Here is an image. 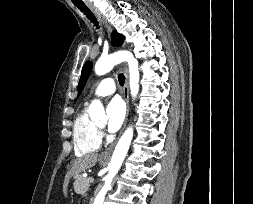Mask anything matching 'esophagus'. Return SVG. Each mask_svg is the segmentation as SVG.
I'll return each mask as SVG.
<instances>
[{"label":"esophagus","mask_w":253,"mask_h":204,"mask_svg":"<svg viewBox=\"0 0 253 204\" xmlns=\"http://www.w3.org/2000/svg\"><path fill=\"white\" fill-rule=\"evenodd\" d=\"M88 7L94 12V14L97 16L99 21L104 25V27L106 28L108 34H111L112 28H111L110 24L107 22V20L91 4H88ZM124 73H125V84H124V87H123V96H124V99H125V102H126L127 111H126L125 120H124V123H123V126H122V129H121V132H120L119 136L121 135V133L123 132V130L126 127L128 116H129V111H130V105H129V74H128V68H127L126 65H124ZM119 136H118V138H119ZM118 138L104 152L101 153L100 157L109 158L111 156Z\"/></svg>","instance_id":"34e87169"}]
</instances>
